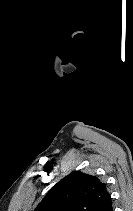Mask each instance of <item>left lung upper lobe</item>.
Instances as JSON below:
<instances>
[{
    "label": "left lung upper lobe",
    "instance_id": "left-lung-upper-lobe-1",
    "mask_svg": "<svg viewBox=\"0 0 133 211\" xmlns=\"http://www.w3.org/2000/svg\"><path fill=\"white\" fill-rule=\"evenodd\" d=\"M109 196L97 177L76 171L55 184L34 211H95Z\"/></svg>",
    "mask_w": 133,
    "mask_h": 211
}]
</instances>
